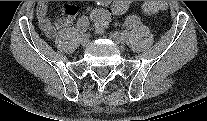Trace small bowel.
I'll use <instances>...</instances> for the list:
<instances>
[{
  "label": "small bowel",
  "mask_w": 207,
  "mask_h": 121,
  "mask_svg": "<svg viewBox=\"0 0 207 121\" xmlns=\"http://www.w3.org/2000/svg\"><path fill=\"white\" fill-rule=\"evenodd\" d=\"M122 3H127V7L123 10L118 9L117 6ZM100 4L102 6H107L109 2L101 1ZM111 6L114 8L115 15H121L125 13V11L127 10L128 2L117 1L112 3ZM76 13H77L76 7L72 4H68L64 9L63 15H61L54 22H52L48 17L47 1L38 2L36 7V17H37L38 25L48 38H54L60 29L70 26L74 21Z\"/></svg>",
  "instance_id": "small-bowel-1"
}]
</instances>
